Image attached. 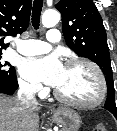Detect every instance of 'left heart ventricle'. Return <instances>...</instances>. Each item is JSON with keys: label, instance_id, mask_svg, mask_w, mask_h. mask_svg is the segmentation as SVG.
Returning <instances> with one entry per match:
<instances>
[{"label": "left heart ventricle", "instance_id": "left-heart-ventricle-1", "mask_svg": "<svg viewBox=\"0 0 117 131\" xmlns=\"http://www.w3.org/2000/svg\"><path fill=\"white\" fill-rule=\"evenodd\" d=\"M57 90L67 98L91 102L99 94V83L94 72L84 65L65 66Z\"/></svg>", "mask_w": 117, "mask_h": 131}]
</instances>
